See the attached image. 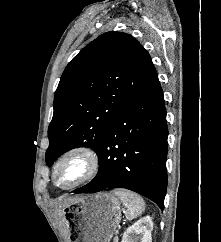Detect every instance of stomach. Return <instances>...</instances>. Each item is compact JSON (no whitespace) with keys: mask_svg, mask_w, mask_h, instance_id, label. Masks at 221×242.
I'll return each mask as SVG.
<instances>
[{"mask_svg":"<svg viewBox=\"0 0 221 242\" xmlns=\"http://www.w3.org/2000/svg\"><path fill=\"white\" fill-rule=\"evenodd\" d=\"M64 210L72 242H110L121 220L120 201L110 192L76 197Z\"/></svg>","mask_w":221,"mask_h":242,"instance_id":"0dacf381","label":"stomach"}]
</instances>
